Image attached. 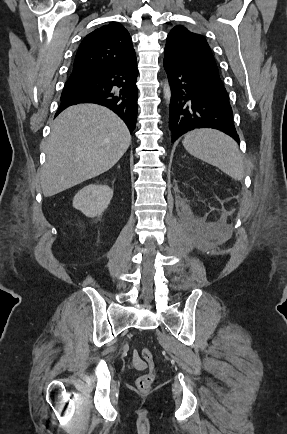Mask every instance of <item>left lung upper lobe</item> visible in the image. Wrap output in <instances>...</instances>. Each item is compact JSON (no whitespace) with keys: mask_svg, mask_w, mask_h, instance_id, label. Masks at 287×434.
I'll list each match as a JSON object with an SVG mask.
<instances>
[{"mask_svg":"<svg viewBox=\"0 0 287 434\" xmlns=\"http://www.w3.org/2000/svg\"><path fill=\"white\" fill-rule=\"evenodd\" d=\"M164 57L192 63L218 74V68L206 39L184 26L174 27L168 34Z\"/></svg>","mask_w":287,"mask_h":434,"instance_id":"obj_1","label":"left lung upper lobe"}]
</instances>
